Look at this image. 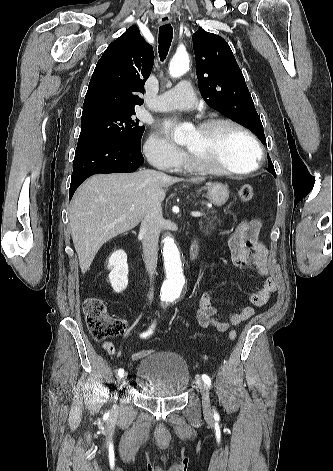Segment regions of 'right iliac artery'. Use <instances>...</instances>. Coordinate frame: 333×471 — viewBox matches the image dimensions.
<instances>
[{
	"mask_svg": "<svg viewBox=\"0 0 333 471\" xmlns=\"http://www.w3.org/2000/svg\"><path fill=\"white\" fill-rule=\"evenodd\" d=\"M153 328H154V324L151 326V328L147 332L142 333L141 337L146 338L150 336L153 333ZM123 374H124V369L120 368L118 370V376L121 377Z\"/></svg>",
	"mask_w": 333,
	"mask_h": 471,
	"instance_id": "right-iliac-artery-1",
	"label": "right iliac artery"
}]
</instances>
